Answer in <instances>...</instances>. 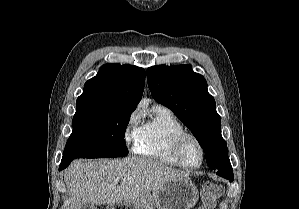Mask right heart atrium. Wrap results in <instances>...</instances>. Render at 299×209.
Segmentation results:
<instances>
[{
	"label": "right heart atrium",
	"mask_w": 299,
	"mask_h": 209,
	"mask_svg": "<svg viewBox=\"0 0 299 209\" xmlns=\"http://www.w3.org/2000/svg\"><path fill=\"white\" fill-rule=\"evenodd\" d=\"M138 122L139 116L136 112H133L127 120L123 135L127 145L134 144L136 141Z\"/></svg>",
	"instance_id": "1"
}]
</instances>
